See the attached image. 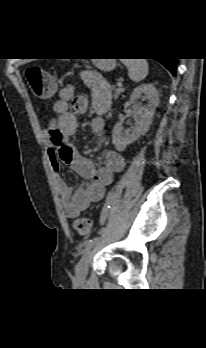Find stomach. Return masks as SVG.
Listing matches in <instances>:
<instances>
[{
    "instance_id": "obj_1",
    "label": "stomach",
    "mask_w": 206,
    "mask_h": 348,
    "mask_svg": "<svg viewBox=\"0 0 206 348\" xmlns=\"http://www.w3.org/2000/svg\"><path fill=\"white\" fill-rule=\"evenodd\" d=\"M93 63L101 70L109 71L115 68V59H94Z\"/></svg>"
}]
</instances>
